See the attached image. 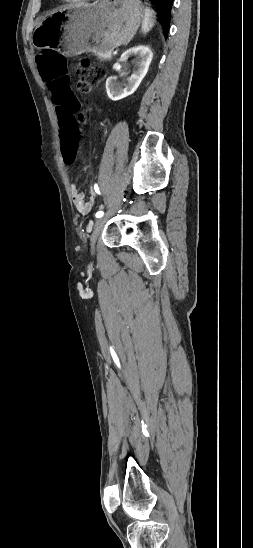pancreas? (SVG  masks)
Instances as JSON below:
<instances>
[{"label": "pancreas", "instance_id": "cf45deb5", "mask_svg": "<svg viewBox=\"0 0 253 548\" xmlns=\"http://www.w3.org/2000/svg\"><path fill=\"white\" fill-rule=\"evenodd\" d=\"M100 60H110L112 58L111 52H94Z\"/></svg>", "mask_w": 253, "mask_h": 548}]
</instances>
